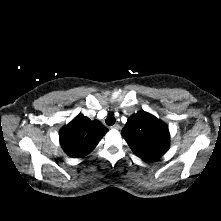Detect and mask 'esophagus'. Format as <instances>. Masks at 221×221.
Listing matches in <instances>:
<instances>
[{"mask_svg":"<svg viewBox=\"0 0 221 221\" xmlns=\"http://www.w3.org/2000/svg\"><path fill=\"white\" fill-rule=\"evenodd\" d=\"M111 128L115 130H119L121 129V126L119 124H114Z\"/></svg>","mask_w":221,"mask_h":221,"instance_id":"34e87169","label":"esophagus"}]
</instances>
